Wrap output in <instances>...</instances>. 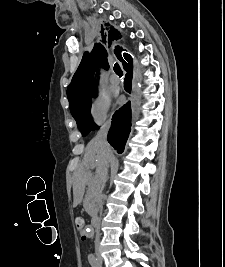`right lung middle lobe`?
Wrapping results in <instances>:
<instances>
[{
    "mask_svg": "<svg viewBox=\"0 0 225 267\" xmlns=\"http://www.w3.org/2000/svg\"><path fill=\"white\" fill-rule=\"evenodd\" d=\"M96 87L92 88L86 95L78 102L70 105L71 114L77 122L78 128L82 136H86L90 131L96 130L99 127L94 123L91 117V99L96 96Z\"/></svg>",
    "mask_w": 225,
    "mask_h": 267,
    "instance_id": "1",
    "label": "right lung middle lobe"
}]
</instances>
